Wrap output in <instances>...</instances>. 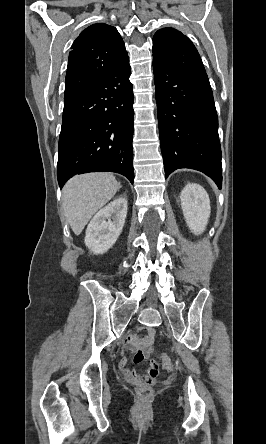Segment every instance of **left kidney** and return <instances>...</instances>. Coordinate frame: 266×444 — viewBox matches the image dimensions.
<instances>
[{"label": "left kidney", "instance_id": "1", "mask_svg": "<svg viewBox=\"0 0 266 444\" xmlns=\"http://www.w3.org/2000/svg\"><path fill=\"white\" fill-rule=\"evenodd\" d=\"M181 208L187 226L196 235L204 232L210 217V199L205 189L195 183H189L183 188Z\"/></svg>", "mask_w": 266, "mask_h": 444}]
</instances>
